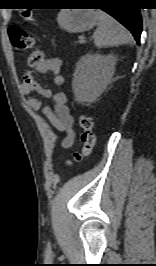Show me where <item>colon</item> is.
<instances>
[{
	"label": "colon",
	"instance_id": "colon-1",
	"mask_svg": "<svg viewBox=\"0 0 156 266\" xmlns=\"http://www.w3.org/2000/svg\"><path fill=\"white\" fill-rule=\"evenodd\" d=\"M22 17L26 21L33 20V14L30 11H24ZM9 38L13 47L17 50H31V54L28 58V65L30 67H36L44 61L43 52L36 47L34 38L23 28L18 26H12L9 29ZM79 123L82 128L81 141L82 149L80 152L73 154V159L65 163L66 166L72 163H78L88 157L95 145V134L93 132V119L86 115L81 114L79 116Z\"/></svg>",
	"mask_w": 156,
	"mask_h": 266
}]
</instances>
